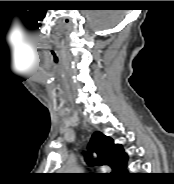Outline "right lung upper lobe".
<instances>
[{
  "label": "right lung upper lobe",
  "instance_id": "right-lung-upper-lobe-1",
  "mask_svg": "<svg viewBox=\"0 0 174 184\" xmlns=\"http://www.w3.org/2000/svg\"><path fill=\"white\" fill-rule=\"evenodd\" d=\"M89 151H95L97 154V159H95L97 165L110 166L114 172L113 174L119 172L128 158L121 145L114 144L112 138L98 131L92 135ZM86 157L87 162L91 164L89 160L90 153H87Z\"/></svg>",
  "mask_w": 174,
  "mask_h": 184
}]
</instances>
